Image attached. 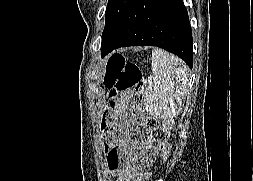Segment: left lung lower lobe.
I'll return each instance as SVG.
<instances>
[{
    "label": "left lung lower lobe",
    "instance_id": "0a47b994",
    "mask_svg": "<svg viewBox=\"0 0 253 181\" xmlns=\"http://www.w3.org/2000/svg\"><path fill=\"white\" fill-rule=\"evenodd\" d=\"M126 46H158L192 68V32L182 0H132L103 37L102 56Z\"/></svg>",
    "mask_w": 253,
    "mask_h": 181
}]
</instances>
